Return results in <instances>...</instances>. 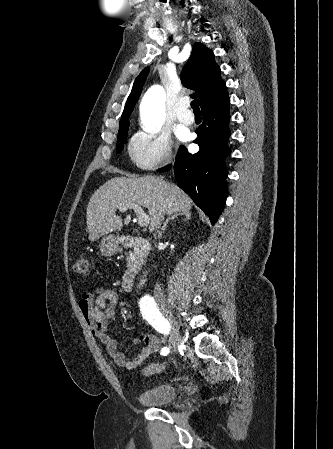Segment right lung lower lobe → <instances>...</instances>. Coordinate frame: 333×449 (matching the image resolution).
I'll return each mask as SVG.
<instances>
[{"label": "right lung lower lobe", "instance_id": "98d812e1", "mask_svg": "<svg viewBox=\"0 0 333 449\" xmlns=\"http://www.w3.org/2000/svg\"><path fill=\"white\" fill-rule=\"evenodd\" d=\"M230 99L226 86L208 97L201 105L203 123L197 128L194 143L200 150L191 154L180 146L174 163V174L182 188L215 224L227 198V168L225 158L230 154L227 140ZM171 169L167 165L158 171Z\"/></svg>", "mask_w": 333, "mask_h": 449}]
</instances>
